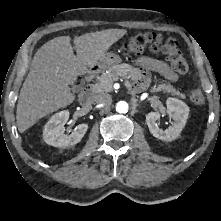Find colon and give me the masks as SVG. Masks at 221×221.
Returning a JSON list of instances; mask_svg holds the SVG:
<instances>
[{
    "instance_id": "obj_1",
    "label": "colon",
    "mask_w": 221,
    "mask_h": 221,
    "mask_svg": "<svg viewBox=\"0 0 221 221\" xmlns=\"http://www.w3.org/2000/svg\"><path fill=\"white\" fill-rule=\"evenodd\" d=\"M124 48L127 52L139 55L146 50L163 52L166 54L172 69L180 74L186 73L188 64L184 58L178 43L173 38H164L161 34L155 32H146L132 36L124 42ZM189 99L195 105H201L204 102V96L199 88H193L189 92Z\"/></svg>"
}]
</instances>
